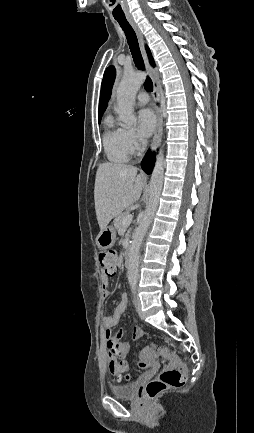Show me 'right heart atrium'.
I'll return each instance as SVG.
<instances>
[{
	"label": "right heart atrium",
	"instance_id": "obj_1",
	"mask_svg": "<svg viewBox=\"0 0 254 433\" xmlns=\"http://www.w3.org/2000/svg\"><path fill=\"white\" fill-rule=\"evenodd\" d=\"M124 136L131 153L139 152L142 146V139L138 133L134 129L127 128L124 129Z\"/></svg>",
	"mask_w": 254,
	"mask_h": 433
}]
</instances>
